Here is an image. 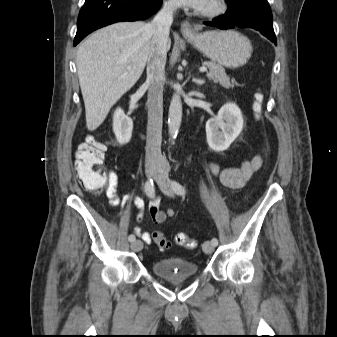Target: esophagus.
Masks as SVG:
<instances>
[{
  "label": "esophagus",
  "mask_w": 337,
  "mask_h": 337,
  "mask_svg": "<svg viewBox=\"0 0 337 337\" xmlns=\"http://www.w3.org/2000/svg\"><path fill=\"white\" fill-rule=\"evenodd\" d=\"M180 30L184 36H191V35H194L195 33L192 25L188 21H183L181 23Z\"/></svg>",
  "instance_id": "34e87169"
}]
</instances>
